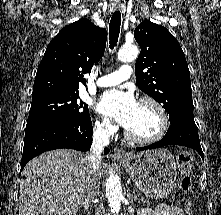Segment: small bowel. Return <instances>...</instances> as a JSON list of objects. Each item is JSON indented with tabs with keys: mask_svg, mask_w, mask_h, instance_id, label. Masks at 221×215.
<instances>
[{
	"mask_svg": "<svg viewBox=\"0 0 221 215\" xmlns=\"http://www.w3.org/2000/svg\"><path fill=\"white\" fill-rule=\"evenodd\" d=\"M138 215H184L178 207H169L167 205H158L156 208H141Z\"/></svg>",
	"mask_w": 221,
	"mask_h": 215,
	"instance_id": "small-bowel-1",
	"label": "small bowel"
}]
</instances>
